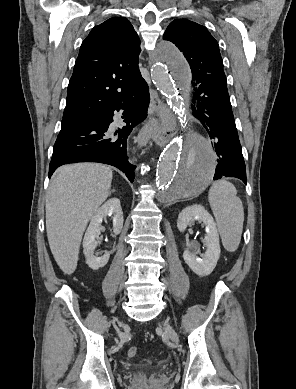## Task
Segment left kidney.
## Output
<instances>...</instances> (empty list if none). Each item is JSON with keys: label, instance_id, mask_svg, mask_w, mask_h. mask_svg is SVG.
<instances>
[{"label": "left kidney", "instance_id": "1", "mask_svg": "<svg viewBox=\"0 0 296 389\" xmlns=\"http://www.w3.org/2000/svg\"><path fill=\"white\" fill-rule=\"evenodd\" d=\"M195 221L203 222L205 225L206 251L200 258L197 256L199 247L190 244L185 248L183 258L195 274L207 276L212 273L220 257L219 235L212 216L201 205H192L183 209L178 216L177 228L180 232H184L187 226Z\"/></svg>", "mask_w": 296, "mask_h": 389}]
</instances>
